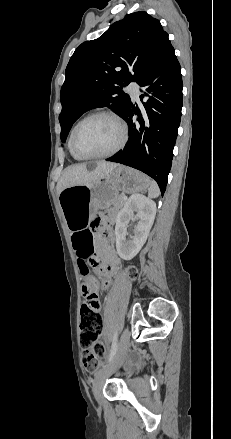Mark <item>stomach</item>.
<instances>
[{
  "instance_id": "1",
  "label": "stomach",
  "mask_w": 231,
  "mask_h": 439,
  "mask_svg": "<svg viewBox=\"0 0 231 439\" xmlns=\"http://www.w3.org/2000/svg\"><path fill=\"white\" fill-rule=\"evenodd\" d=\"M149 185L146 175L119 165L92 183L65 188L59 202L66 224L71 230H81L89 225L97 209L114 205L113 198L120 192H140Z\"/></svg>"
}]
</instances>
